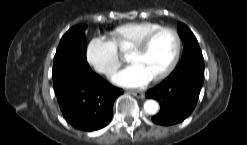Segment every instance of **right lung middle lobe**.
<instances>
[{
    "label": "right lung middle lobe",
    "instance_id": "1",
    "mask_svg": "<svg viewBox=\"0 0 247 145\" xmlns=\"http://www.w3.org/2000/svg\"><path fill=\"white\" fill-rule=\"evenodd\" d=\"M85 29V25H78L64 34L54 57L53 74L73 64L88 65Z\"/></svg>",
    "mask_w": 247,
    "mask_h": 145
}]
</instances>
